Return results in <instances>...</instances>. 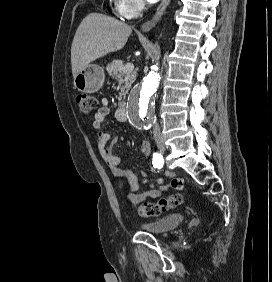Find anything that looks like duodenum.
Returning a JSON list of instances; mask_svg holds the SVG:
<instances>
[{"label":"duodenum","instance_id":"obj_1","mask_svg":"<svg viewBox=\"0 0 272 282\" xmlns=\"http://www.w3.org/2000/svg\"><path fill=\"white\" fill-rule=\"evenodd\" d=\"M126 104H127V102H126L125 99H123L119 104L118 112H119L120 117H123V115H124Z\"/></svg>","mask_w":272,"mask_h":282}]
</instances>
